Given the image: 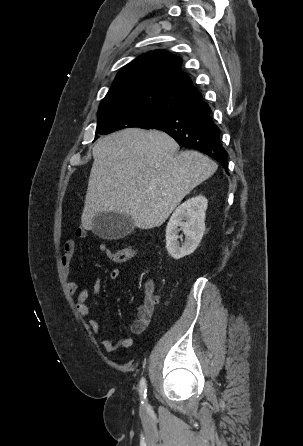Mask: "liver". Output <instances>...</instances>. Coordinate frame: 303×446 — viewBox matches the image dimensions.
Segmentation results:
<instances>
[{
	"mask_svg": "<svg viewBox=\"0 0 303 446\" xmlns=\"http://www.w3.org/2000/svg\"><path fill=\"white\" fill-rule=\"evenodd\" d=\"M164 132L128 128L100 138L93 147L82 226L97 214L130 217L140 229L162 225L182 199L211 177L218 165L197 151L176 154Z\"/></svg>",
	"mask_w": 303,
	"mask_h": 446,
	"instance_id": "6515ba94",
	"label": "liver"
}]
</instances>
